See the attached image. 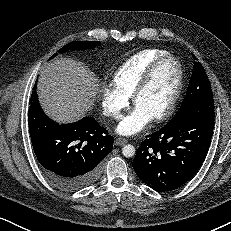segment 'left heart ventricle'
Instances as JSON below:
<instances>
[{
	"label": "left heart ventricle",
	"instance_id": "1",
	"mask_svg": "<svg viewBox=\"0 0 231 231\" xmlns=\"http://www.w3.org/2000/svg\"><path fill=\"white\" fill-rule=\"evenodd\" d=\"M177 78L176 64L172 60L163 62L155 71L149 85L140 95L136 107L152 118L159 115L168 105Z\"/></svg>",
	"mask_w": 231,
	"mask_h": 231
}]
</instances>
